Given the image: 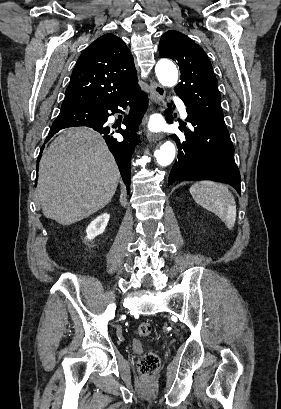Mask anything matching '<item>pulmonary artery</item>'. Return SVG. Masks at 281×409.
Returning <instances> with one entry per match:
<instances>
[{"label":"pulmonary artery","instance_id":"1","mask_svg":"<svg viewBox=\"0 0 281 409\" xmlns=\"http://www.w3.org/2000/svg\"><path fill=\"white\" fill-rule=\"evenodd\" d=\"M173 100H174L175 102H179V101L181 100V97H180L179 95H175V96L173 97ZM179 109H180L181 115H182L184 118H186V117H187L186 107H185L183 104H180Z\"/></svg>","mask_w":281,"mask_h":409}]
</instances>
